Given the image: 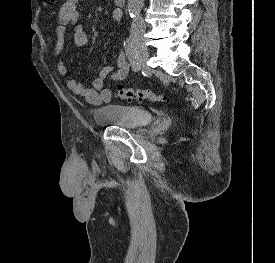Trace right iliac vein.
I'll use <instances>...</instances> for the list:
<instances>
[{
    "label": "right iliac vein",
    "instance_id": "63e3f726",
    "mask_svg": "<svg viewBox=\"0 0 275 263\" xmlns=\"http://www.w3.org/2000/svg\"><path fill=\"white\" fill-rule=\"evenodd\" d=\"M132 42L134 44L138 59L141 62H145L149 57V51L144 41L141 38H134Z\"/></svg>",
    "mask_w": 275,
    "mask_h": 263
}]
</instances>
